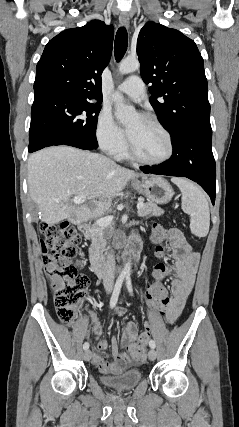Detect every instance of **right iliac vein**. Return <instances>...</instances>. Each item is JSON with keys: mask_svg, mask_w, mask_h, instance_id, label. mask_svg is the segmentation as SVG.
I'll return each instance as SVG.
<instances>
[{"mask_svg": "<svg viewBox=\"0 0 239 427\" xmlns=\"http://www.w3.org/2000/svg\"><path fill=\"white\" fill-rule=\"evenodd\" d=\"M84 360L85 361H90L91 357H92V353L90 350H86L83 354Z\"/></svg>", "mask_w": 239, "mask_h": 427, "instance_id": "63e3f726", "label": "right iliac vein"}]
</instances>
